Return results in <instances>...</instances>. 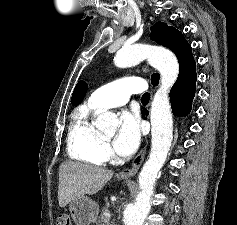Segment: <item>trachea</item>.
<instances>
[{
  "label": "trachea",
  "instance_id": "3493384b",
  "mask_svg": "<svg viewBox=\"0 0 237 225\" xmlns=\"http://www.w3.org/2000/svg\"><path fill=\"white\" fill-rule=\"evenodd\" d=\"M150 99V93L146 92L142 96V101H149Z\"/></svg>",
  "mask_w": 237,
  "mask_h": 225
}]
</instances>
